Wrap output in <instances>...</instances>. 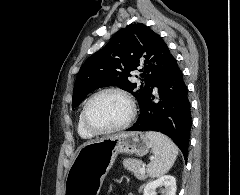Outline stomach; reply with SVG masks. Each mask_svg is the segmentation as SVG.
Segmentation results:
<instances>
[{
  "label": "stomach",
  "mask_w": 240,
  "mask_h": 195,
  "mask_svg": "<svg viewBox=\"0 0 240 195\" xmlns=\"http://www.w3.org/2000/svg\"><path fill=\"white\" fill-rule=\"evenodd\" d=\"M151 143L142 131H122L85 141L67 171L66 195H99L102 183L118 153H149Z\"/></svg>",
  "instance_id": "stomach-1"
}]
</instances>
